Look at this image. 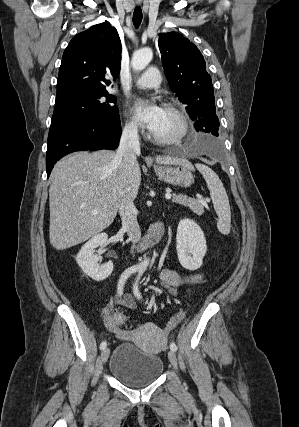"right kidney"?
<instances>
[{"label":"right kidney","mask_w":299,"mask_h":427,"mask_svg":"<svg viewBox=\"0 0 299 427\" xmlns=\"http://www.w3.org/2000/svg\"><path fill=\"white\" fill-rule=\"evenodd\" d=\"M108 235L101 233L84 244L79 251L76 261L82 271L95 281H102L108 278L113 269L114 265L112 261H109L103 265H100L101 257L95 254V249L107 243Z\"/></svg>","instance_id":"obj_1"}]
</instances>
